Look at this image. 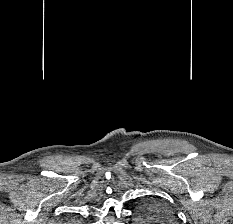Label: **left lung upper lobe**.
<instances>
[{"mask_svg": "<svg viewBox=\"0 0 233 224\" xmlns=\"http://www.w3.org/2000/svg\"><path fill=\"white\" fill-rule=\"evenodd\" d=\"M139 214L147 224H174L176 217L172 210L157 200H147L140 205Z\"/></svg>", "mask_w": 233, "mask_h": 224, "instance_id": "5c2ea615", "label": "left lung upper lobe"}]
</instances>
